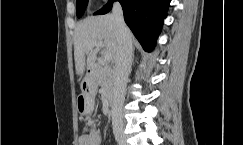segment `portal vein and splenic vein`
<instances>
[{
	"label": "portal vein and splenic vein",
	"mask_w": 243,
	"mask_h": 145,
	"mask_svg": "<svg viewBox=\"0 0 243 145\" xmlns=\"http://www.w3.org/2000/svg\"><path fill=\"white\" fill-rule=\"evenodd\" d=\"M92 46H96L99 48H103L104 47V43L102 41H96L92 44ZM103 57L106 61L110 62L112 60V55L109 52H104L103 53Z\"/></svg>",
	"instance_id": "18ae733b"
}]
</instances>
